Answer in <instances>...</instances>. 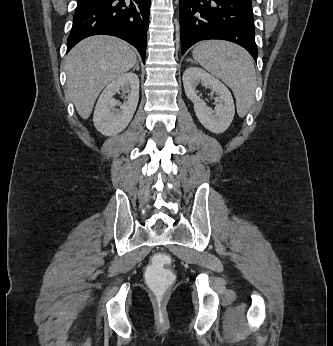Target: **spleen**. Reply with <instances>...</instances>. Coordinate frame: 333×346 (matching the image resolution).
I'll return each mask as SVG.
<instances>
[{
  "mask_svg": "<svg viewBox=\"0 0 333 346\" xmlns=\"http://www.w3.org/2000/svg\"><path fill=\"white\" fill-rule=\"evenodd\" d=\"M192 55L232 89L238 115L244 117L253 104L256 88V72L249 53L233 43L210 40L200 42Z\"/></svg>",
  "mask_w": 333,
  "mask_h": 346,
  "instance_id": "spleen-1",
  "label": "spleen"
}]
</instances>
